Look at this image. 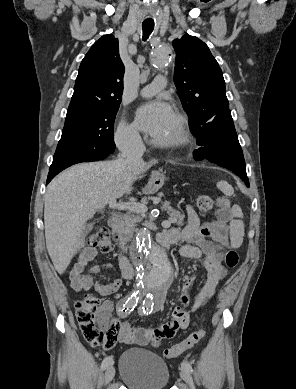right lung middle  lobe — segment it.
I'll return each mask as SVG.
<instances>
[{"instance_id":"1","label":"right lung middle lobe","mask_w":296,"mask_h":389,"mask_svg":"<svg viewBox=\"0 0 296 389\" xmlns=\"http://www.w3.org/2000/svg\"><path fill=\"white\" fill-rule=\"evenodd\" d=\"M119 106L95 109L66 119L50 168L65 169L73 164L98 161L115 149L114 120Z\"/></svg>"}]
</instances>
